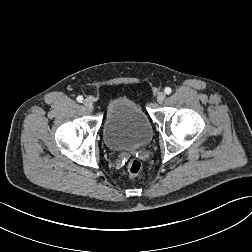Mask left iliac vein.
I'll use <instances>...</instances> for the list:
<instances>
[{"instance_id":"obj_1","label":"left iliac vein","mask_w":252,"mask_h":252,"mask_svg":"<svg viewBox=\"0 0 252 252\" xmlns=\"http://www.w3.org/2000/svg\"><path fill=\"white\" fill-rule=\"evenodd\" d=\"M165 98H166V95H165L164 92H159V93L157 94V101H158L159 103H162V102L165 100Z\"/></svg>"}]
</instances>
